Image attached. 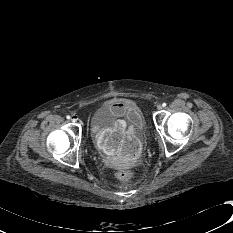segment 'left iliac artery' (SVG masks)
I'll use <instances>...</instances> for the list:
<instances>
[{
	"label": "left iliac artery",
	"instance_id": "obj_1",
	"mask_svg": "<svg viewBox=\"0 0 233 233\" xmlns=\"http://www.w3.org/2000/svg\"><path fill=\"white\" fill-rule=\"evenodd\" d=\"M167 104L166 103H163L162 106L165 107Z\"/></svg>",
	"mask_w": 233,
	"mask_h": 233
}]
</instances>
